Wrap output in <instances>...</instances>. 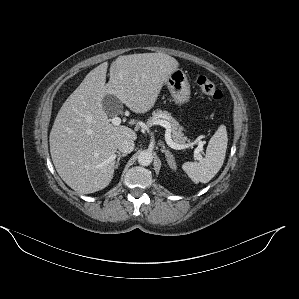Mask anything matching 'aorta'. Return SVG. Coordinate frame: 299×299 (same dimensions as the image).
Masks as SVG:
<instances>
[{
    "mask_svg": "<svg viewBox=\"0 0 299 299\" xmlns=\"http://www.w3.org/2000/svg\"><path fill=\"white\" fill-rule=\"evenodd\" d=\"M153 161V155L150 151H141L138 155V163L142 166H149Z\"/></svg>",
    "mask_w": 299,
    "mask_h": 299,
    "instance_id": "762f6f07",
    "label": "aorta"
}]
</instances>
